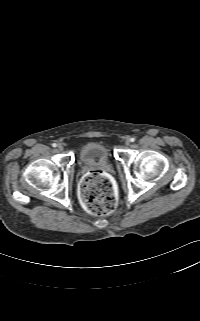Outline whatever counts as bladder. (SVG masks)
I'll use <instances>...</instances> for the list:
<instances>
[{
    "label": "bladder",
    "instance_id": "bladder-1",
    "mask_svg": "<svg viewBox=\"0 0 200 321\" xmlns=\"http://www.w3.org/2000/svg\"><path fill=\"white\" fill-rule=\"evenodd\" d=\"M111 149L103 141H90L82 146L79 151L81 163L108 162L111 159Z\"/></svg>",
    "mask_w": 200,
    "mask_h": 321
}]
</instances>
